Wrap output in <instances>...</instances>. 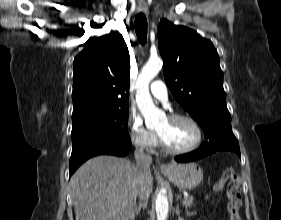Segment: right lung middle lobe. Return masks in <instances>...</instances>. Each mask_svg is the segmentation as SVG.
<instances>
[{
  "label": "right lung middle lobe",
  "mask_w": 281,
  "mask_h": 220,
  "mask_svg": "<svg viewBox=\"0 0 281 220\" xmlns=\"http://www.w3.org/2000/svg\"><path fill=\"white\" fill-rule=\"evenodd\" d=\"M128 116L129 109L124 108L72 118V148L97 143H130Z\"/></svg>",
  "instance_id": "right-lung-middle-lobe-1"
}]
</instances>
